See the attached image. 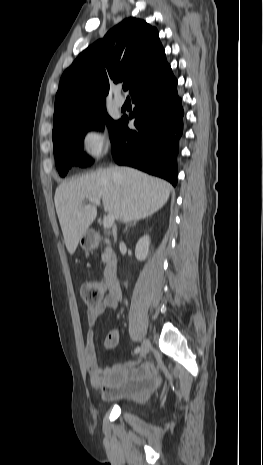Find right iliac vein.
Masks as SVG:
<instances>
[{"instance_id":"obj_1","label":"right iliac vein","mask_w":263,"mask_h":465,"mask_svg":"<svg viewBox=\"0 0 263 465\" xmlns=\"http://www.w3.org/2000/svg\"><path fill=\"white\" fill-rule=\"evenodd\" d=\"M149 349L150 341L148 339H144L140 349L139 357L143 358L148 353Z\"/></svg>"}]
</instances>
